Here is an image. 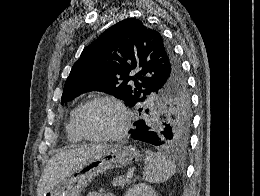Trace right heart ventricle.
<instances>
[{
	"label": "right heart ventricle",
	"mask_w": 260,
	"mask_h": 196,
	"mask_svg": "<svg viewBox=\"0 0 260 196\" xmlns=\"http://www.w3.org/2000/svg\"><path fill=\"white\" fill-rule=\"evenodd\" d=\"M82 105V103H79L70 113L68 122L66 124V135H67V139L74 144H77L81 141H83L84 139L82 138V136L80 135V133L78 132L76 126H75V116L76 113L78 111V109L80 108V106Z\"/></svg>",
	"instance_id": "1"
}]
</instances>
